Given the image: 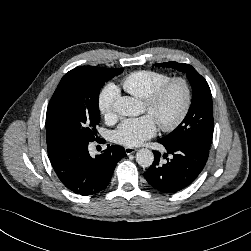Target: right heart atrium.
Segmentation results:
<instances>
[{"mask_svg":"<svg viewBox=\"0 0 251 251\" xmlns=\"http://www.w3.org/2000/svg\"><path fill=\"white\" fill-rule=\"evenodd\" d=\"M117 98L118 89L114 85L106 86L99 96V111L108 121H114L116 119L114 104Z\"/></svg>","mask_w":251,"mask_h":251,"instance_id":"right-heart-atrium-1","label":"right heart atrium"}]
</instances>
